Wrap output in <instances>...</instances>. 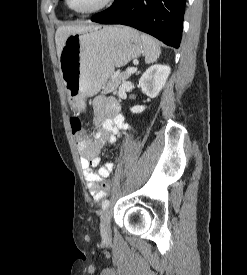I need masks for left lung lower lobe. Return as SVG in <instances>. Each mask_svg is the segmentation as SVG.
I'll return each mask as SVG.
<instances>
[{
    "mask_svg": "<svg viewBox=\"0 0 247 275\" xmlns=\"http://www.w3.org/2000/svg\"><path fill=\"white\" fill-rule=\"evenodd\" d=\"M186 0H115L93 22L122 24L148 33L168 46L178 48Z\"/></svg>",
    "mask_w": 247,
    "mask_h": 275,
    "instance_id": "obj_1",
    "label": "left lung lower lobe"
}]
</instances>
